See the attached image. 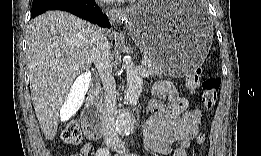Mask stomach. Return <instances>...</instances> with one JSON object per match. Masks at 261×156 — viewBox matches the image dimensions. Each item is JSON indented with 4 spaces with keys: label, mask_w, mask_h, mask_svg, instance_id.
Returning <instances> with one entry per match:
<instances>
[{
    "label": "stomach",
    "mask_w": 261,
    "mask_h": 156,
    "mask_svg": "<svg viewBox=\"0 0 261 156\" xmlns=\"http://www.w3.org/2000/svg\"><path fill=\"white\" fill-rule=\"evenodd\" d=\"M125 23L138 47L173 77L193 71L211 47L210 22L188 3L141 2L128 10Z\"/></svg>",
    "instance_id": "1"
}]
</instances>
